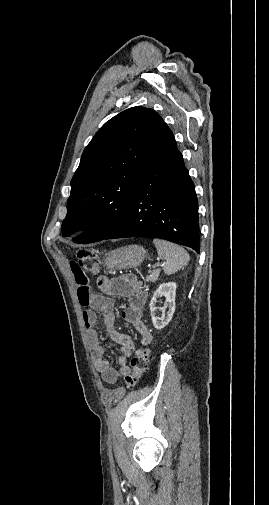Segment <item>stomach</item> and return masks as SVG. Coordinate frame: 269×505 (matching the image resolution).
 <instances>
[{"mask_svg": "<svg viewBox=\"0 0 269 505\" xmlns=\"http://www.w3.org/2000/svg\"><path fill=\"white\" fill-rule=\"evenodd\" d=\"M146 250L140 245H128L105 255V265L110 270L130 269L139 266L146 258Z\"/></svg>", "mask_w": 269, "mask_h": 505, "instance_id": "0dacf381", "label": "stomach"}]
</instances>
